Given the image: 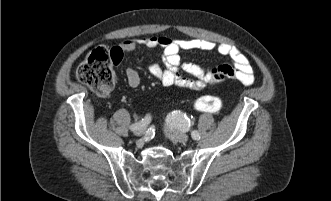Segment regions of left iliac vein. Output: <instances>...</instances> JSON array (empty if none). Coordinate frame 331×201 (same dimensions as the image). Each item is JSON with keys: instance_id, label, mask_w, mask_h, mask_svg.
<instances>
[{"instance_id": "4c4485c4", "label": "left iliac vein", "mask_w": 331, "mask_h": 201, "mask_svg": "<svg viewBox=\"0 0 331 201\" xmlns=\"http://www.w3.org/2000/svg\"><path fill=\"white\" fill-rule=\"evenodd\" d=\"M168 137L174 142L186 143L189 140L188 135L182 133H171Z\"/></svg>"}]
</instances>
